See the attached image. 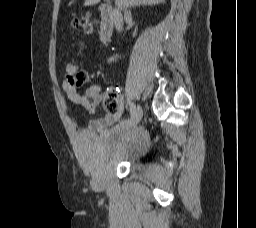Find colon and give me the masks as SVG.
Instances as JSON below:
<instances>
[{
	"instance_id": "5ec220e1",
	"label": "colon",
	"mask_w": 256,
	"mask_h": 228,
	"mask_svg": "<svg viewBox=\"0 0 256 228\" xmlns=\"http://www.w3.org/2000/svg\"><path fill=\"white\" fill-rule=\"evenodd\" d=\"M94 20L89 16L85 15L82 17H76L72 21V27H82L86 32H91L94 28ZM64 73L66 75H72L77 73V67L75 65H64ZM104 106L109 114H114L118 110L117 93L114 90H110L104 97Z\"/></svg>"
}]
</instances>
